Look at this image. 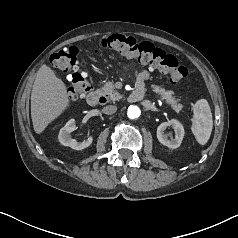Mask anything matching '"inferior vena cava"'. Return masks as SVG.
<instances>
[{
    "instance_id": "1",
    "label": "inferior vena cava",
    "mask_w": 238,
    "mask_h": 238,
    "mask_svg": "<svg viewBox=\"0 0 238 238\" xmlns=\"http://www.w3.org/2000/svg\"><path fill=\"white\" fill-rule=\"evenodd\" d=\"M117 110V107L114 106V105H108V106H105L102 111L104 114H107V115H111L113 113H115Z\"/></svg>"
}]
</instances>
